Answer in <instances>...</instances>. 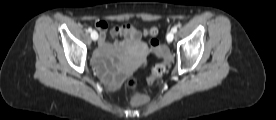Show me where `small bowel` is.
Returning <instances> with one entry per match:
<instances>
[{
	"label": "small bowel",
	"mask_w": 276,
	"mask_h": 120,
	"mask_svg": "<svg viewBox=\"0 0 276 120\" xmlns=\"http://www.w3.org/2000/svg\"><path fill=\"white\" fill-rule=\"evenodd\" d=\"M95 26L100 34L99 47L94 58L95 69L108 86L117 87L121 80L119 59L123 56L124 49L139 44L140 33L129 24L116 26L111 29V35L114 38L121 37L122 40L109 43L107 40L108 23L98 21Z\"/></svg>",
	"instance_id": "1"
}]
</instances>
